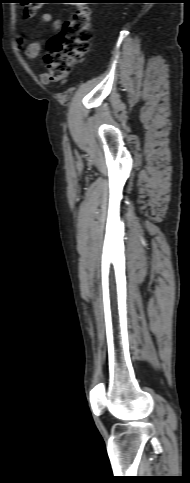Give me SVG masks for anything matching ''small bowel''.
<instances>
[{
	"instance_id": "obj_1",
	"label": "small bowel",
	"mask_w": 190,
	"mask_h": 483,
	"mask_svg": "<svg viewBox=\"0 0 190 483\" xmlns=\"http://www.w3.org/2000/svg\"><path fill=\"white\" fill-rule=\"evenodd\" d=\"M41 21L44 24H49L53 31H58L61 27V21L58 19H52L49 13H44L41 16ZM40 53V44L38 42H30L26 47V57L30 60L36 59ZM40 80L43 83L49 81V77L46 73L41 74Z\"/></svg>"
}]
</instances>
